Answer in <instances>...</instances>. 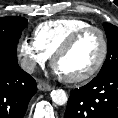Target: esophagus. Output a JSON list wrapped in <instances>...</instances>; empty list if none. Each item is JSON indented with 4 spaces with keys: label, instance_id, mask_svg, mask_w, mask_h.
<instances>
[{
    "label": "esophagus",
    "instance_id": "esophagus-1",
    "mask_svg": "<svg viewBox=\"0 0 118 118\" xmlns=\"http://www.w3.org/2000/svg\"><path fill=\"white\" fill-rule=\"evenodd\" d=\"M37 87L40 91H50L53 89L52 86L48 85L46 82L43 80H38L37 82Z\"/></svg>",
    "mask_w": 118,
    "mask_h": 118
}]
</instances>
